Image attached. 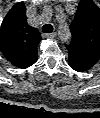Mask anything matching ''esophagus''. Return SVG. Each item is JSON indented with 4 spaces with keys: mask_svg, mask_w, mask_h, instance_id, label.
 <instances>
[{
    "mask_svg": "<svg viewBox=\"0 0 100 118\" xmlns=\"http://www.w3.org/2000/svg\"><path fill=\"white\" fill-rule=\"evenodd\" d=\"M56 35H57L56 32H52V33L43 34V37H45V38H55Z\"/></svg>",
    "mask_w": 100,
    "mask_h": 118,
    "instance_id": "1",
    "label": "esophagus"
}]
</instances>
